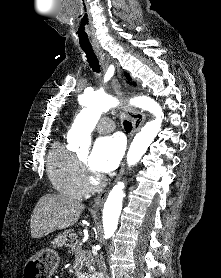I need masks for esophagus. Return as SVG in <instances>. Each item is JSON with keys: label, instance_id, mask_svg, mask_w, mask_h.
<instances>
[{"label": "esophagus", "instance_id": "obj_1", "mask_svg": "<svg viewBox=\"0 0 221 278\" xmlns=\"http://www.w3.org/2000/svg\"><path fill=\"white\" fill-rule=\"evenodd\" d=\"M95 53L99 59V62L103 68V70L106 72L109 64H110V58L106 57L105 53L100 50V49H95ZM115 65V75L111 80V84L112 87L115 91V93L117 94V96L122 99L125 100V93L122 91V87L120 84V76H121V68L120 65L117 61H115L113 63ZM122 109L123 112L131 119L132 121V125H133V129L131 132V138H133L135 136V134L141 129V127L143 126L145 120H146V115L141 112L138 111L132 107H130L129 105L126 104V102L124 101L123 105H122ZM125 172V162L122 163L120 172L118 177L116 178V180H119ZM108 192L107 191H103L100 195H98L95 200L92 203V207L94 209H99L102 207L106 197H107Z\"/></svg>", "mask_w": 221, "mask_h": 278}]
</instances>
